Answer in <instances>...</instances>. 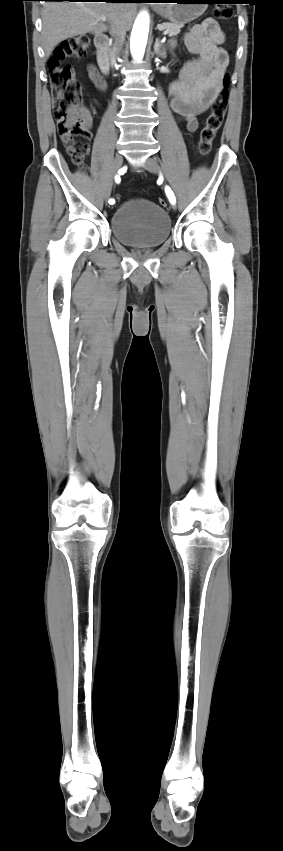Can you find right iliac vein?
I'll list each match as a JSON object with an SVG mask.
<instances>
[{
  "mask_svg": "<svg viewBox=\"0 0 283 851\" xmlns=\"http://www.w3.org/2000/svg\"><path fill=\"white\" fill-rule=\"evenodd\" d=\"M122 164H123V157L120 154H117L115 156V159H114L113 170L111 171L113 178L118 174V170L121 168ZM113 178L108 182L106 190H105L104 198H105L106 201L109 199V197L111 195Z\"/></svg>",
  "mask_w": 283,
  "mask_h": 851,
  "instance_id": "1",
  "label": "right iliac vein"
}]
</instances>
